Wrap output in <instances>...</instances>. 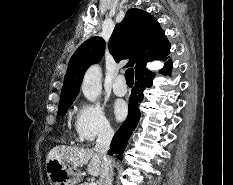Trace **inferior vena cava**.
<instances>
[{"instance_id": "1", "label": "inferior vena cava", "mask_w": 233, "mask_h": 185, "mask_svg": "<svg viewBox=\"0 0 233 185\" xmlns=\"http://www.w3.org/2000/svg\"><path fill=\"white\" fill-rule=\"evenodd\" d=\"M114 131L110 125H104L98 134L94 150L102 155L104 166L100 173L99 185H112L113 166L111 159L107 156Z\"/></svg>"}]
</instances>
